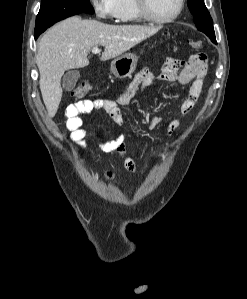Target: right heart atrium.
Wrapping results in <instances>:
<instances>
[{
  "label": "right heart atrium",
  "instance_id": "1",
  "mask_svg": "<svg viewBox=\"0 0 247 299\" xmlns=\"http://www.w3.org/2000/svg\"><path fill=\"white\" fill-rule=\"evenodd\" d=\"M94 13L99 19L114 17V0H89Z\"/></svg>",
  "mask_w": 247,
  "mask_h": 299
}]
</instances>
